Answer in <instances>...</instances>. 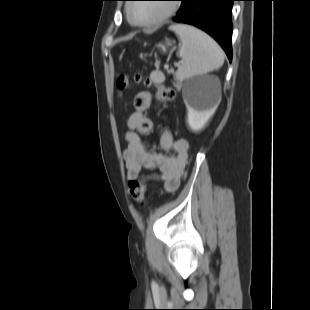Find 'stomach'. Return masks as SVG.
I'll return each instance as SVG.
<instances>
[{
    "mask_svg": "<svg viewBox=\"0 0 310 310\" xmlns=\"http://www.w3.org/2000/svg\"><path fill=\"white\" fill-rule=\"evenodd\" d=\"M171 45H172L171 42H167L166 45L159 44V45H158V48H160L161 51H162L163 53H165V52L167 51V46H171Z\"/></svg>",
    "mask_w": 310,
    "mask_h": 310,
    "instance_id": "0dacf381",
    "label": "stomach"
}]
</instances>
